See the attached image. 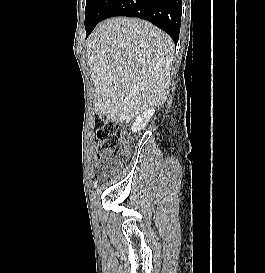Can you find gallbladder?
I'll list each match as a JSON object with an SVG mask.
<instances>
[{"label": "gallbladder", "instance_id": "gallbladder-1", "mask_svg": "<svg viewBox=\"0 0 265 273\" xmlns=\"http://www.w3.org/2000/svg\"><path fill=\"white\" fill-rule=\"evenodd\" d=\"M100 118H104V115H100Z\"/></svg>", "mask_w": 265, "mask_h": 273}]
</instances>
